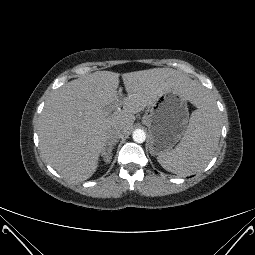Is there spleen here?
Returning <instances> with one entry per match:
<instances>
[{"mask_svg": "<svg viewBox=\"0 0 255 255\" xmlns=\"http://www.w3.org/2000/svg\"><path fill=\"white\" fill-rule=\"evenodd\" d=\"M197 106L180 143L157 157L165 170L177 175H190L204 169L219 143L221 121L215 102L205 92Z\"/></svg>", "mask_w": 255, "mask_h": 255, "instance_id": "spleen-1", "label": "spleen"}]
</instances>
